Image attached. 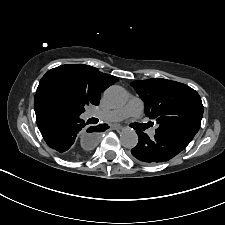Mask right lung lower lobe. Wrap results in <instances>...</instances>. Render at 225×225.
<instances>
[{"label": "right lung lower lobe", "mask_w": 225, "mask_h": 225, "mask_svg": "<svg viewBox=\"0 0 225 225\" xmlns=\"http://www.w3.org/2000/svg\"><path fill=\"white\" fill-rule=\"evenodd\" d=\"M34 109L38 128L47 145L69 159H81L84 153L76 148L78 136L84 131L85 122L75 113L42 96H35ZM109 128L106 124L89 127L88 132H100ZM95 138L96 134H90ZM92 144L83 146L84 152Z\"/></svg>", "instance_id": "98d812e1"}]
</instances>
